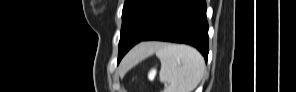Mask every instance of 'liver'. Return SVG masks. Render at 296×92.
<instances>
[{"label": "liver", "mask_w": 296, "mask_h": 92, "mask_svg": "<svg viewBox=\"0 0 296 92\" xmlns=\"http://www.w3.org/2000/svg\"><path fill=\"white\" fill-rule=\"evenodd\" d=\"M150 46V43H143L139 45L137 48H135L127 57V61L131 63V65L135 64L136 61L140 58V55H142L145 52V49Z\"/></svg>", "instance_id": "6515ba94"}]
</instances>
